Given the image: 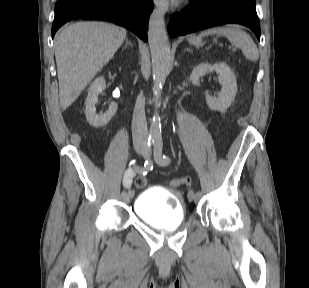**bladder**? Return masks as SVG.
<instances>
[{
	"label": "bladder",
	"instance_id": "1",
	"mask_svg": "<svg viewBox=\"0 0 309 288\" xmlns=\"http://www.w3.org/2000/svg\"><path fill=\"white\" fill-rule=\"evenodd\" d=\"M134 211L144 223L165 231L176 229L185 219L182 196L156 187H148L138 195Z\"/></svg>",
	"mask_w": 309,
	"mask_h": 288
}]
</instances>
